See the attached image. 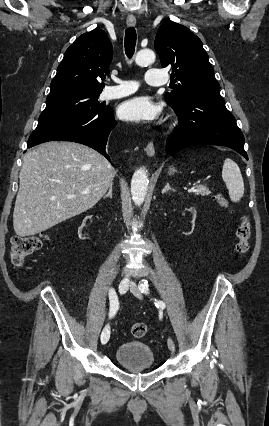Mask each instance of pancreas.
<instances>
[{"label": "pancreas", "instance_id": "pancreas-1", "mask_svg": "<svg viewBox=\"0 0 269 426\" xmlns=\"http://www.w3.org/2000/svg\"><path fill=\"white\" fill-rule=\"evenodd\" d=\"M197 190L198 191H196L195 193L196 195L208 196L211 193L209 189L204 185L197 186Z\"/></svg>", "mask_w": 269, "mask_h": 426}]
</instances>
